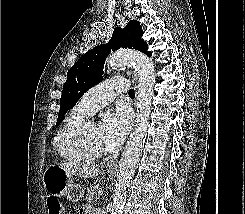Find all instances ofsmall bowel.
<instances>
[{"instance_id": "small-bowel-1", "label": "small bowel", "mask_w": 245, "mask_h": 214, "mask_svg": "<svg viewBox=\"0 0 245 214\" xmlns=\"http://www.w3.org/2000/svg\"><path fill=\"white\" fill-rule=\"evenodd\" d=\"M78 214H102V213L96 211L91 205L86 204L79 209Z\"/></svg>"}]
</instances>
